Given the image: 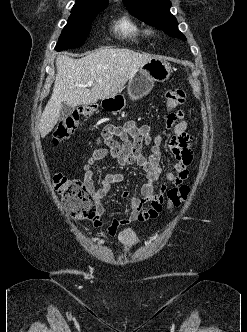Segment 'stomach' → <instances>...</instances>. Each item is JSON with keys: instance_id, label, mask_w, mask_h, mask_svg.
<instances>
[{"instance_id": "obj_1", "label": "stomach", "mask_w": 247, "mask_h": 332, "mask_svg": "<svg viewBox=\"0 0 247 332\" xmlns=\"http://www.w3.org/2000/svg\"><path fill=\"white\" fill-rule=\"evenodd\" d=\"M171 74L170 64L160 58H153L140 67L129 79L127 93L132 101L139 100L148 95L154 87V82H164ZM126 105L123 95L117 94L114 97L104 99L102 106L106 110L120 111Z\"/></svg>"}]
</instances>
